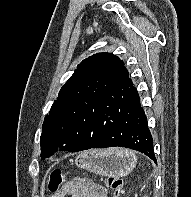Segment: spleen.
<instances>
[{
	"label": "spleen",
	"instance_id": "spleen-1",
	"mask_svg": "<svg viewBox=\"0 0 191 197\" xmlns=\"http://www.w3.org/2000/svg\"><path fill=\"white\" fill-rule=\"evenodd\" d=\"M120 152H122L125 156L130 157L134 162H136L137 158L132 151L126 149H120Z\"/></svg>",
	"mask_w": 191,
	"mask_h": 197
}]
</instances>
